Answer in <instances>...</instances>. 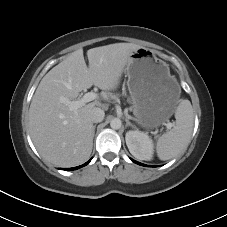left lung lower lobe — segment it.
<instances>
[{
	"label": "left lung lower lobe",
	"instance_id": "left-lung-lower-lobe-1",
	"mask_svg": "<svg viewBox=\"0 0 227 227\" xmlns=\"http://www.w3.org/2000/svg\"><path fill=\"white\" fill-rule=\"evenodd\" d=\"M132 161L135 162V163H137V164H139V165L146 166V165H144V164H142V163H139V162H137V161H135V160H132Z\"/></svg>",
	"mask_w": 227,
	"mask_h": 227
}]
</instances>
